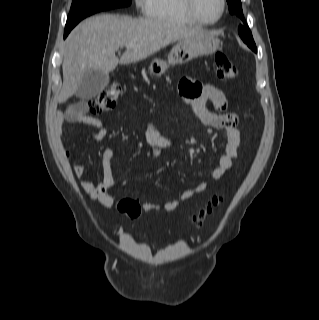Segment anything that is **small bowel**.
<instances>
[{"label":"small bowel","instance_id":"c3829d8e","mask_svg":"<svg viewBox=\"0 0 319 320\" xmlns=\"http://www.w3.org/2000/svg\"><path fill=\"white\" fill-rule=\"evenodd\" d=\"M180 99L189 105L197 118L204 125L225 131L224 152L219 158L218 166L211 172L212 180H220L224 174L231 169L234 160L238 155L241 143V132L238 129V116L235 113L227 111V100L223 92L216 86L204 84L191 78H182L180 81ZM211 103L214 111L208 109L207 104ZM64 123H83L95 129L90 134L83 137L87 140H102L109 134L104 123L95 117L88 115L87 105L78 103L69 111L59 115L57 119L58 130ZM145 139L155 156L168 154L173 148V142L170 138L160 132L155 126L145 135ZM69 157V152L65 153ZM115 157V151L107 147L101 154L102 180L95 183L92 180L85 179L81 181V188L90 198L98 199L101 204L111 208L115 199L110 191L117 186L115 181L112 160ZM74 174L81 178L85 174V166L78 163L74 166ZM207 183L202 182L196 187L187 189L181 200H186L201 193L207 188ZM179 201L167 202H144L143 209L146 212L172 211L177 208Z\"/></svg>","mask_w":319,"mask_h":320}]
</instances>
